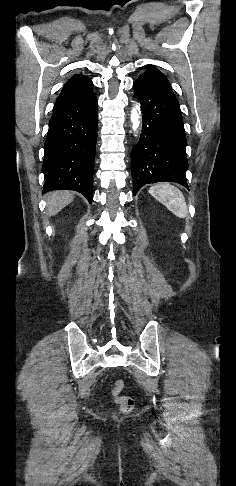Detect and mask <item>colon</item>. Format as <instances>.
<instances>
[{"label": "colon", "instance_id": "colon-1", "mask_svg": "<svg viewBox=\"0 0 236 486\" xmlns=\"http://www.w3.org/2000/svg\"><path fill=\"white\" fill-rule=\"evenodd\" d=\"M124 389V382L122 380L115 381L111 394L116 404L119 405V409L122 413L127 414L132 411L134 407V401L128 396H122L121 392Z\"/></svg>", "mask_w": 236, "mask_h": 486}]
</instances>
